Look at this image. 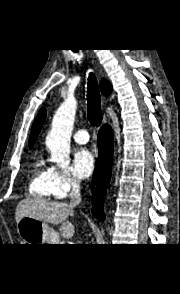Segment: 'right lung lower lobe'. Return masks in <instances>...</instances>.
<instances>
[{
  "instance_id": "98d812e1",
  "label": "right lung lower lobe",
  "mask_w": 180,
  "mask_h": 294,
  "mask_svg": "<svg viewBox=\"0 0 180 294\" xmlns=\"http://www.w3.org/2000/svg\"><path fill=\"white\" fill-rule=\"evenodd\" d=\"M98 147L99 156L92 180V213L98 220L103 221L105 216L101 207L103 206V197L110 182L113 155V134L111 128L106 124L99 130Z\"/></svg>"
}]
</instances>
